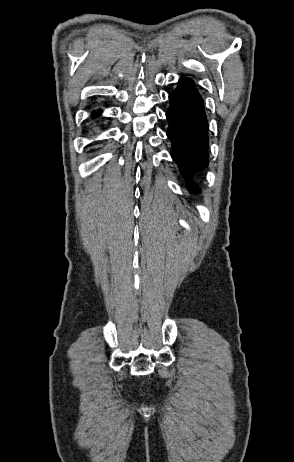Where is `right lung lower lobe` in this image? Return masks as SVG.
I'll list each match as a JSON object with an SVG mask.
<instances>
[{
  "label": "right lung lower lobe",
  "mask_w": 294,
  "mask_h": 462,
  "mask_svg": "<svg viewBox=\"0 0 294 462\" xmlns=\"http://www.w3.org/2000/svg\"><path fill=\"white\" fill-rule=\"evenodd\" d=\"M99 113H100V111H98L96 114H99Z\"/></svg>",
  "instance_id": "1"
}]
</instances>
